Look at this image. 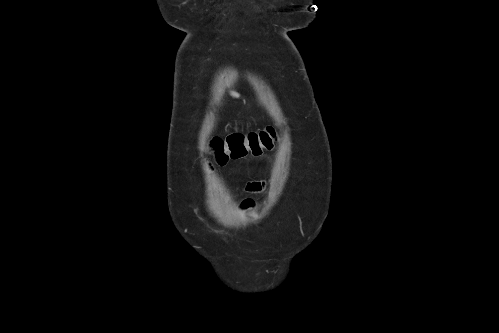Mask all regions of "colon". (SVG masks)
I'll return each mask as SVG.
<instances>
[{
  "mask_svg": "<svg viewBox=\"0 0 499 333\" xmlns=\"http://www.w3.org/2000/svg\"><path fill=\"white\" fill-rule=\"evenodd\" d=\"M275 129L271 126L260 132L248 134L235 133L226 139L215 138L211 142V151L218 164H224L228 159H238L251 153L258 155L273 146Z\"/></svg>",
  "mask_w": 499,
  "mask_h": 333,
  "instance_id": "1",
  "label": "colon"
}]
</instances>
